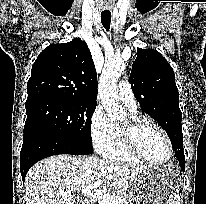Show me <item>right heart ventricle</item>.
I'll list each match as a JSON object with an SVG mask.
<instances>
[{
    "instance_id": "e07e8e85",
    "label": "right heart ventricle",
    "mask_w": 206,
    "mask_h": 204,
    "mask_svg": "<svg viewBox=\"0 0 206 204\" xmlns=\"http://www.w3.org/2000/svg\"><path fill=\"white\" fill-rule=\"evenodd\" d=\"M130 111L132 114H136V109H130ZM101 154L104 158L113 161L142 163L141 160L132 155L128 150L124 142L120 126L117 124H113L112 138Z\"/></svg>"
}]
</instances>
